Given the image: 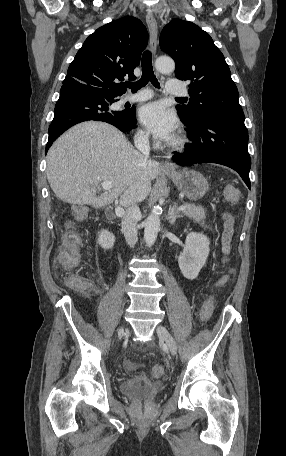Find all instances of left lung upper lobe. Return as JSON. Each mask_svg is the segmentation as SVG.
<instances>
[{
  "label": "left lung upper lobe",
  "mask_w": 286,
  "mask_h": 456,
  "mask_svg": "<svg viewBox=\"0 0 286 456\" xmlns=\"http://www.w3.org/2000/svg\"><path fill=\"white\" fill-rule=\"evenodd\" d=\"M160 47L174 59L176 77L190 81V102L176 106L182 120L194 123L208 114L244 120L230 69L207 32L173 19L161 32Z\"/></svg>",
  "instance_id": "obj_1"
}]
</instances>
